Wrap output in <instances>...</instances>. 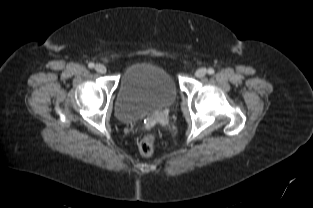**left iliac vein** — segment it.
<instances>
[{"mask_svg": "<svg viewBox=\"0 0 313 208\" xmlns=\"http://www.w3.org/2000/svg\"><path fill=\"white\" fill-rule=\"evenodd\" d=\"M207 70L205 68H199L198 70H196L195 75L198 78H202L206 75Z\"/></svg>", "mask_w": 313, "mask_h": 208, "instance_id": "obj_1", "label": "left iliac vein"}]
</instances>
